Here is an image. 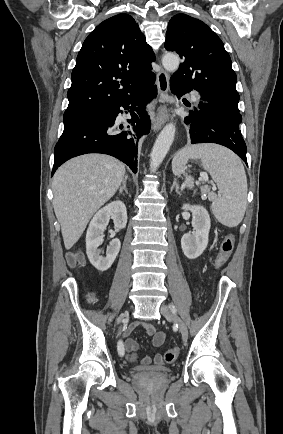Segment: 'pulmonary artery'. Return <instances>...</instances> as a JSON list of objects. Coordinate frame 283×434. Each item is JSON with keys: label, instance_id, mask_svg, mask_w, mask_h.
Wrapping results in <instances>:
<instances>
[{"label": "pulmonary artery", "instance_id": "pulmonary-artery-1", "mask_svg": "<svg viewBox=\"0 0 283 434\" xmlns=\"http://www.w3.org/2000/svg\"><path fill=\"white\" fill-rule=\"evenodd\" d=\"M190 97L195 100L197 99V94L195 92H191Z\"/></svg>", "mask_w": 283, "mask_h": 434}]
</instances>
